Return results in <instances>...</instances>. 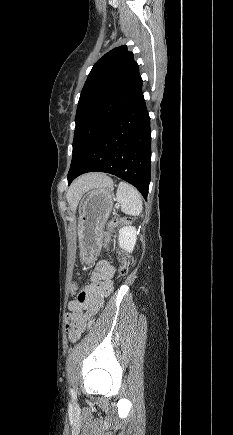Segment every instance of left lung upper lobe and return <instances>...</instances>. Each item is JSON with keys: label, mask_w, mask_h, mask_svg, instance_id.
I'll return each instance as SVG.
<instances>
[{"label": "left lung upper lobe", "mask_w": 233, "mask_h": 435, "mask_svg": "<svg viewBox=\"0 0 233 435\" xmlns=\"http://www.w3.org/2000/svg\"><path fill=\"white\" fill-rule=\"evenodd\" d=\"M142 82L127 46L114 48L94 64L79 98L71 166L143 95Z\"/></svg>", "instance_id": "5c2ea615"}]
</instances>
